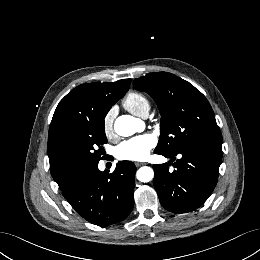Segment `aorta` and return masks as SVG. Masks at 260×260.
<instances>
[{"mask_svg":"<svg viewBox=\"0 0 260 260\" xmlns=\"http://www.w3.org/2000/svg\"><path fill=\"white\" fill-rule=\"evenodd\" d=\"M140 120L130 116L121 115L114 123V130L119 136L127 137L137 132ZM136 177L140 182L147 183L154 177V171L151 167L143 166L138 169Z\"/></svg>","mask_w":260,"mask_h":260,"instance_id":"1","label":"aorta"}]
</instances>
